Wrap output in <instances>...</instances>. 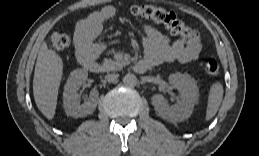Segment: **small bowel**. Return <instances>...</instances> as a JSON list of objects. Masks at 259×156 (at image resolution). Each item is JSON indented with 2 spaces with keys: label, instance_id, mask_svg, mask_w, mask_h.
<instances>
[{
  "label": "small bowel",
  "instance_id": "c3829d8e",
  "mask_svg": "<svg viewBox=\"0 0 259 156\" xmlns=\"http://www.w3.org/2000/svg\"><path fill=\"white\" fill-rule=\"evenodd\" d=\"M116 13L112 5H106L81 19L75 30L74 43L79 57L89 54L96 57L101 46L94 39L101 33L104 22ZM191 40L178 39L171 41L168 34L149 25L144 26V61L150 66L164 62H191L199 58L202 50L201 38L198 31H194Z\"/></svg>",
  "mask_w": 259,
  "mask_h": 156
}]
</instances>
